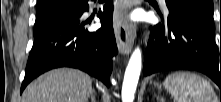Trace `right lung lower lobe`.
<instances>
[{
	"label": "right lung lower lobe",
	"mask_w": 221,
	"mask_h": 102,
	"mask_svg": "<svg viewBox=\"0 0 221 102\" xmlns=\"http://www.w3.org/2000/svg\"><path fill=\"white\" fill-rule=\"evenodd\" d=\"M88 0H80L77 10L61 17L34 34L25 78L20 93L40 74L58 67L79 68L110 86L112 57L117 45L112 25L113 5L108 1L98 17L100 29L89 32L80 17L89 10Z\"/></svg>",
	"instance_id": "obj_1"
}]
</instances>
